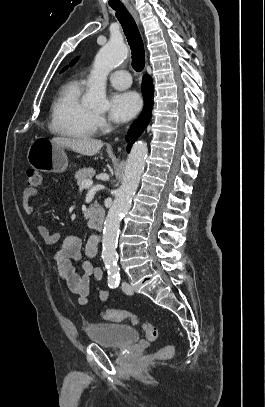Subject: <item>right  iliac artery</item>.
Segmentation results:
<instances>
[{
  "instance_id": "right-iliac-artery-1",
  "label": "right iliac artery",
  "mask_w": 265,
  "mask_h": 407,
  "mask_svg": "<svg viewBox=\"0 0 265 407\" xmlns=\"http://www.w3.org/2000/svg\"><path fill=\"white\" fill-rule=\"evenodd\" d=\"M119 285L118 279H109L108 286L110 288H116Z\"/></svg>"
}]
</instances>
